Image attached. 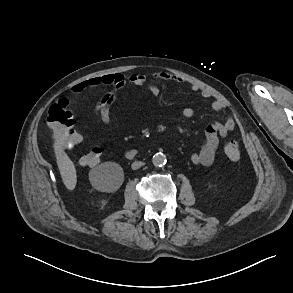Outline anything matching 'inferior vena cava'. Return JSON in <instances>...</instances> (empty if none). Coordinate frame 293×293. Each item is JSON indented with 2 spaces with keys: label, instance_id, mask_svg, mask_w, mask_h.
<instances>
[{
  "label": "inferior vena cava",
  "instance_id": "1",
  "mask_svg": "<svg viewBox=\"0 0 293 293\" xmlns=\"http://www.w3.org/2000/svg\"><path fill=\"white\" fill-rule=\"evenodd\" d=\"M143 165H144L143 162H141V161H135V162L132 163L131 167H132L133 170H136V169L140 168Z\"/></svg>",
  "mask_w": 293,
  "mask_h": 293
}]
</instances>
